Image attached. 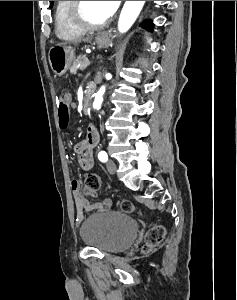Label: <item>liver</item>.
<instances>
[{
	"instance_id": "1",
	"label": "liver",
	"mask_w": 237,
	"mask_h": 300,
	"mask_svg": "<svg viewBox=\"0 0 237 300\" xmlns=\"http://www.w3.org/2000/svg\"><path fill=\"white\" fill-rule=\"evenodd\" d=\"M61 45H65V43H58L57 47H61Z\"/></svg>"
}]
</instances>
